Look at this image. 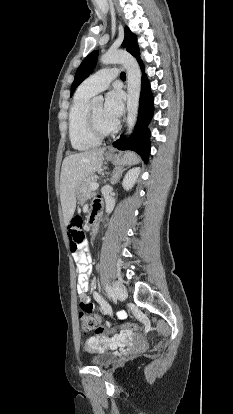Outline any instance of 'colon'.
I'll return each instance as SVG.
<instances>
[{
  "instance_id": "5ec220e1",
  "label": "colon",
  "mask_w": 233,
  "mask_h": 414,
  "mask_svg": "<svg viewBox=\"0 0 233 414\" xmlns=\"http://www.w3.org/2000/svg\"><path fill=\"white\" fill-rule=\"evenodd\" d=\"M82 218L78 215L74 216L68 227V236L70 240V248L72 252L79 255L83 254L82 246L85 243V234L81 230ZM80 321L83 334H87L90 331H95L98 335L105 333H121L123 331H138L142 330V327L136 323H126L119 329H109L101 324L98 316L93 313L92 303L86 299L80 300Z\"/></svg>"
}]
</instances>
